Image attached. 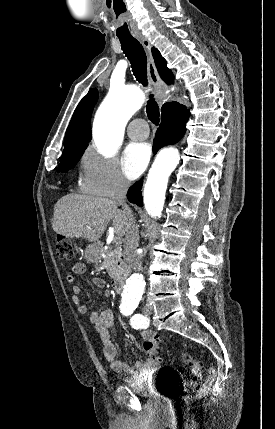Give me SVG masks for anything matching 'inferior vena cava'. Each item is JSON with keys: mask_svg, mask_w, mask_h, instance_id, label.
<instances>
[{"mask_svg": "<svg viewBox=\"0 0 275 429\" xmlns=\"http://www.w3.org/2000/svg\"><path fill=\"white\" fill-rule=\"evenodd\" d=\"M130 184L125 178H120L116 186L112 200L122 206L123 211L127 215L128 222L124 240V252L126 262L134 271L142 270L141 256L137 253L139 245V233L136 224V219L130 207L126 204V193Z\"/></svg>", "mask_w": 275, "mask_h": 429, "instance_id": "obj_1", "label": "inferior vena cava"}]
</instances>
